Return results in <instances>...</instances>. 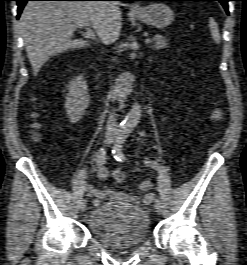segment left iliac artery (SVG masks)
Instances as JSON below:
<instances>
[{"label":"left iliac artery","instance_id":"44dca946","mask_svg":"<svg viewBox=\"0 0 247 265\" xmlns=\"http://www.w3.org/2000/svg\"><path fill=\"white\" fill-rule=\"evenodd\" d=\"M128 137V134L127 133H122L120 134L116 141H115V144H114V147H113V150H112V153L114 155V158L117 160V161H124L125 160V156L124 154L122 153V146L126 140V138ZM145 163L149 166H151L153 169L159 171V172H162V168L160 166V164L156 161H149V160H146Z\"/></svg>","mask_w":247,"mask_h":265}]
</instances>
